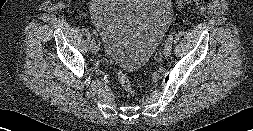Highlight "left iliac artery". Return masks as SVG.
<instances>
[{
  "label": "left iliac artery",
  "mask_w": 253,
  "mask_h": 131,
  "mask_svg": "<svg viewBox=\"0 0 253 131\" xmlns=\"http://www.w3.org/2000/svg\"><path fill=\"white\" fill-rule=\"evenodd\" d=\"M172 42H173V33H170L168 36H167V39L165 41V45H170L172 46Z\"/></svg>",
  "instance_id": "1"
}]
</instances>
